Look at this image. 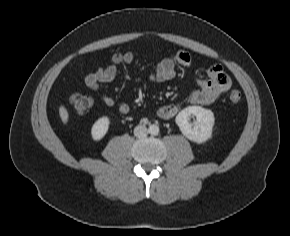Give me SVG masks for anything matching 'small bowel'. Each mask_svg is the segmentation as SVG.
<instances>
[{
	"mask_svg": "<svg viewBox=\"0 0 290 236\" xmlns=\"http://www.w3.org/2000/svg\"><path fill=\"white\" fill-rule=\"evenodd\" d=\"M135 56L132 52H117L112 55L111 62L106 67H99L85 77L86 86L97 91L99 87L113 81L118 74V66L121 64H132ZM192 63V56L186 51H178L170 57L161 59L156 66L155 72L151 75L153 82H166L175 77L176 65L188 67ZM209 79L198 78L200 89L192 92L188 97V102L194 105H211L216 103L220 97L229 89L231 80L224 72L221 64H213L208 68ZM102 102L107 107L115 104L113 97L104 95ZM119 111L126 114L129 106L126 103L119 105ZM178 112V107L172 104L163 105L157 110L160 119L167 120L173 118Z\"/></svg>",
	"mask_w": 290,
	"mask_h": 236,
	"instance_id": "small-bowel-1",
	"label": "small bowel"
}]
</instances>
